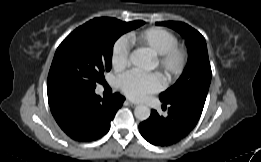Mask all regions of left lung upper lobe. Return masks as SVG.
Listing matches in <instances>:
<instances>
[{"instance_id":"1","label":"left lung upper lobe","mask_w":261,"mask_h":162,"mask_svg":"<svg viewBox=\"0 0 261 162\" xmlns=\"http://www.w3.org/2000/svg\"><path fill=\"white\" fill-rule=\"evenodd\" d=\"M157 25L178 31L185 38L189 53L182 75L171 88L159 95L160 100L169 103L179 97L188 96L204 104L212 77L205 38L185 23L166 21Z\"/></svg>"}]
</instances>
